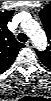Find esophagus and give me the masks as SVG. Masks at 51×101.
Instances as JSON below:
<instances>
[{"label":"esophagus","instance_id":"1","mask_svg":"<svg viewBox=\"0 0 51 101\" xmlns=\"http://www.w3.org/2000/svg\"><path fill=\"white\" fill-rule=\"evenodd\" d=\"M26 46L29 48L33 47V42L31 40L27 41Z\"/></svg>","mask_w":51,"mask_h":101}]
</instances>
